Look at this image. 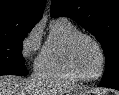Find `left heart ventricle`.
<instances>
[{
	"label": "left heart ventricle",
	"mask_w": 119,
	"mask_h": 95,
	"mask_svg": "<svg viewBox=\"0 0 119 95\" xmlns=\"http://www.w3.org/2000/svg\"><path fill=\"white\" fill-rule=\"evenodd\" d=\"M73 60L77 71L84 76H95L100 70L101 56L99 50L88 39L78 41L74 49Z\"/></svg>",
	"instance_id": "1"
}]
</instances>
